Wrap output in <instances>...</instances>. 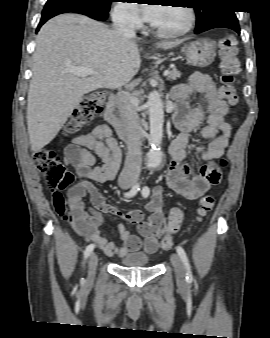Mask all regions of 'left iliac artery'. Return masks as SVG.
<instances>
[{"instance_id": "obj_1", "label": "left iliac artery", "mask_w": 270, "mask_h": 338, "mask_svg": "<svg viewBox=\"0 0 270 338\" xmlns=\"http://www.w3.org/2000/svg\"><path fill=\"white\" fill-rule=\"evenodd\" d=\"M141 194L144 198H147L150 194V189L147 185H145L143 188H142V191H141ZM176 251L178 253V255L180 256L181 260L183 261L184 263V266H185V269H186V279L187 280H192L193 279V276H192V272H191V266L189 264V260H188V257L186 255V252L185 250L183 249V247L181 246H177L176 247Z\"/></svg>"}]
</instances>
